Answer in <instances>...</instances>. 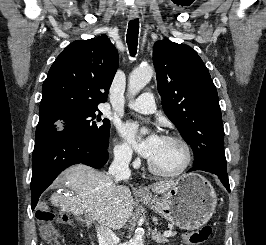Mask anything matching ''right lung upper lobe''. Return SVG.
I'll return each mask as SVG.
<instances>
[{
	"label": "right lung upper lobe",
	"mask_w": 266,
	"mask_h": 245,
	"mask_svg": "<svg viewBox=\"0 0 266 245\" xmlns=\"http://www.w3.org/2000/svg\"><path fill=\"white\" fill-rule=\"evenodd\" d=\"M117 67V50L105 34L69 44L43 83L39 121L106 102Z\"/></svg>",
	"instance_id": "obj_1"
}]
</instances>
